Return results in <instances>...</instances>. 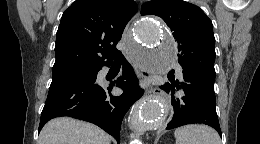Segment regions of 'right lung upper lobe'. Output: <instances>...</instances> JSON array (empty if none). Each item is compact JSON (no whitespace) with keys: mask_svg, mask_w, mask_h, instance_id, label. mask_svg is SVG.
<instances>
[{"mask_svg":"<svg viewBox=\"0 0 260 144\" xmlns=\"http://www.w3.org/2000/svg\"><path fill=\"white\" fill-rule=\"evenodd\" d=\"M137 9L133 0H76L61 18L53 71L111 63L121 55L116 45Z\"/></svg>","mask_w":260,"mask_h":144,"instance_id":"cb5924a9","label":"right lung upper lobe"}]
</instances>
